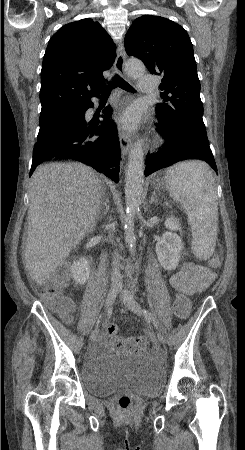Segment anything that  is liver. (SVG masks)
<instances>
[{"label": "liver", "instance_id": "obj_1", "mask_svg": "<svg viewBox=\"0 0 245 450\" xmlns=\"http://www.w3.org/2000/svg\"><path fill=\"white\" fill-rule=\"evenodd\" d=\"M103 186L88 166L49 163L32 175L25 265L44 285L96 226Z\"/></svg>", "mask_w": 245, "mask_h": 450}]
</instances>
